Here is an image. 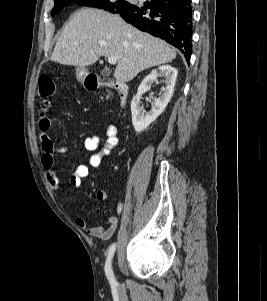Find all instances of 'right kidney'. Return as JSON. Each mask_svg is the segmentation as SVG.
I'll return each instance as SVG.
<instances>
[{"mask_svg": "<svg viewBox=\"0 0 267 301\" xmlns=\"http://www.w3.org/2000/svg\"><path fill=\"white\" fill-rule=\"evenodd\" d=\"M178 70L170 65L160 66L158 69L151 71L141 82L137 94L133 97L131 102L132 124L136 132H143L148 126L154 122L159 115H161L174 92ZM157 78H164L166 87L163 88V94L154 101L151 111L145 113L143 106H141L140 98L142 94L150 90L152 83Z\"/></svg>", "mask_w": 267, "mask_h": 301, "instance_id": "ca27d5eb", "label": "right kidney"}]
</instances>
